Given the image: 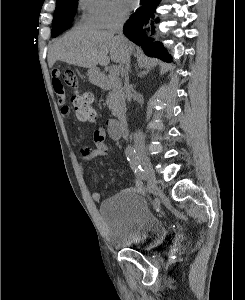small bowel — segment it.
Segmentation results:
<instances>
[{"label": "small bowel", "instance_id": "obj_1", "mask_svg": "<svg viewBox=\"0 0 245 300\" xmlns=\"http://www.w3.org/2000/svg\"><path fill=\"white\" fill-rule=\"evenodd\" d=\"M52 88L56 95L57 103L60 106V113L62 117L66 120L71 118V110L66 105L65 93L61 79L57 74H53L52 78ZM106 133L109 137L115 141L120 140L122 137L126 136L123 134L119 123L115 119H109L105 122V125H98L94 131V141L96 144V149L91 153L84 152L86 157H95V156H103L109 157L111 155L107 145L104 142ZM131 192H135L138 194L143 193L144 187L143 182L139 179H135L134 186L129 189ZM92 199L94 201H99L101 199V194L97 191L93 192Z\"/></svg>", "mask_w": 245, "mask_h": 300}]
</instances>
